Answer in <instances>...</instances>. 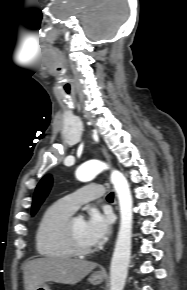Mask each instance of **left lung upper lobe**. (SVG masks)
Here are the masks:
<instances>
[{
	"instance_id": "5c2ea615",
	"label": "left lung upper lobe",
	"mask_w": 187,
	"mask_h": 290,
	"mask_svg": "<svg viewBox=\"0 0 187 290\" xmlns=\"http://www.w3.org/2000/svg\"><path fill=\"white\" fill-rule=\"evenodd\" d=\"M51 186H52V177L51 175H46L45 177L42 178V180L40 181L35 190L32 204V215H34L37 212L39 206L42 204L47 194L49 193Z\"/></svg>"
}]
</instances>
